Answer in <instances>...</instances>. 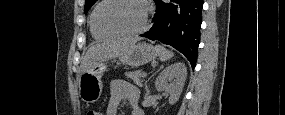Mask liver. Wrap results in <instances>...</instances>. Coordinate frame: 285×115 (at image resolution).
<instances>
[{
    "instance_id": "obj_1",
    "label": "liver",
    "mask_w": 285,
    "mask_h": 115,
    "mask_svg": "<svg viewBox=\"0 0 285 115\" xmlns=\"http://www.w3.org/2000/svg\"><path fill=\"white\" fill-rule=\"evenodd\" d=\"M137 41L138 38H121L96 43L87 50L84 56L80 65L81 74L98 62H104L122 56L130 50Z\"/></svg>"
}]
</instances>
